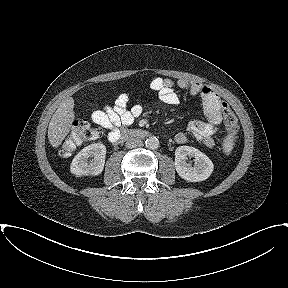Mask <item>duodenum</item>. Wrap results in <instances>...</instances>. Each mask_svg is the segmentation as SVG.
I'll return each mask as SVG.
<instances>
[{"label":"duodenum","instance_id":"1","mask_svg":"<svg viewBox=\"0 0 288 288\" xmlns=\"http://www.w3.org/2000/svg\"><path fill=\"white\" fill-rule=\"evenodd\" d=\"M149 132L143 129H123L115 142H121L128 138H146Z\"/></svg>","mask_w":288,"mask_h":288}]
</instances>
